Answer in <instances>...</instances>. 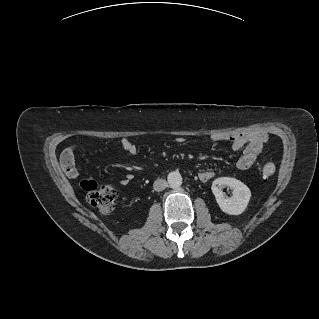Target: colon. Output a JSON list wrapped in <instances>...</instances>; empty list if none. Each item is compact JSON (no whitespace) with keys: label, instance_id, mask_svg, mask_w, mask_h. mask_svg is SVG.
<instances>
[{"label":"colon","instance_id":"1","mask_svg":"<svg viewBox=\"0 0 319 319\" xmlns=\"http://www.w3.org/2000/svg\"><path fill=\"white\" fill-rule=\"evenodd\" d=\"M275 166L267 163L262 168V174L265 177L273 175ZM81 188L87 192V201L90 206L97 209L102 214H110L115 209V203L118 196L117 189L112 185L98 186L91 179H84L80 182Z\"/></svg>","mask_w":319,"mask_h":319}]
</instances>
